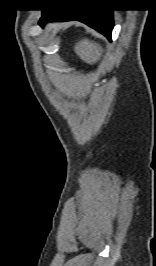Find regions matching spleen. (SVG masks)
<instances>
[{"mask_svg":"<svg viewBox=\"0 0 156 266\" xmlns=\"http://www.w3.org/2000/svg\"><path fill=\"white\" fill-rule=\"evenodd\" d=\"M74 51L82 61L90 65L97 63L101 59L103 53L98 43L86 38L75 44Z\"/></svg>","mask_w":156,"mask_h":266,"instance_id":"1","label":"spleen"}]
</instances>
